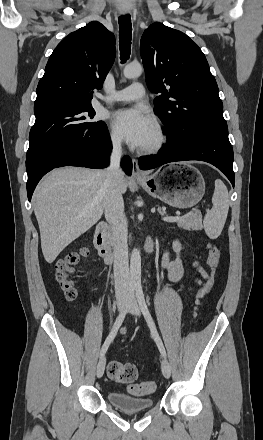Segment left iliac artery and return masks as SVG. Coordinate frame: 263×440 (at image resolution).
Masks as SVG:
<instances>
[{"label": "left iliac artery", "instance_id": "obj_1", "mask_svg": "<svg viewBox=\"0 0 263 440\" xmlns=\"http://www.w3.org/2000/svg\"><path fill=\"white\" fill-rule=\"evenodd\" d=\"M136 297H137L140 309H141V311H142V313L144 315V318H145V320H146V322H147V324H148V326L150 328L151 335L154 338V340H155V342H156V344L158 346V349H159L160 353L162 354V356L166 357V351H165L164 345L162 343V340H161V338H160V336L158 334L156 325H155V323H154V321H153V319L151 317V314L149 312V309L147 307V304H146V301H145V298H144V294H143V290H142L141 287H137L136 288Z\"/></svg>", "mask_w": 263, "mask_h": 440}]
</instances>
